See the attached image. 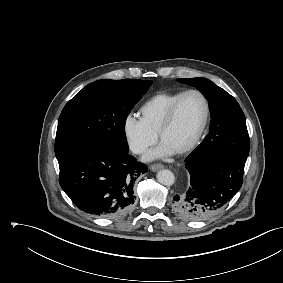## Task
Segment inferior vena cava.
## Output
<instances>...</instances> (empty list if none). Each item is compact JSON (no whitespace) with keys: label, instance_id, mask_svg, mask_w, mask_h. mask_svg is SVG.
<instances>
[{"label":"inferior vena cava","instance_id":"1","mask_svg":"<svg viewBox=\"0 0 283 283\" xmlns=\"http://www.w3.org/2000/svg\"><path fill=\"white\" fill-rule=\"evenodd\" d=\"M144 150H145V148H144V147H141V146H137V147H135V148L133 149V151H134L135 153H142Z\"/></svg>","mask_w":283,"mask_h":283}]
</instances>
